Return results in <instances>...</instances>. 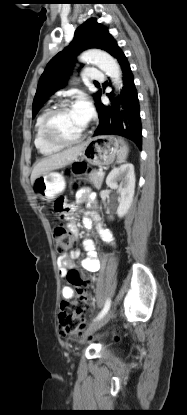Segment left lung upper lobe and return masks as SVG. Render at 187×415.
<instances>
[{"label":"left lung upper lobe","mask_w":187,"mask_h":415,"mask_svg":"<svg viewBox=\"0 0 187 415\" xmlns=\"http://www.w3.org/2000/svg\"><path fill=\"white\" fill-rule=\"evenodd\" d=\"M113 41V37L95 19H89L80 25L75 31L72 42L49 61L41 75L33 100V117L46 99L66 84L76 56L80 52L89 48H99L108 52ZM100 96L101 92L94 94L95 102Z\"/></svg>","instance_id":"5c2ea615"}]
</instances>
